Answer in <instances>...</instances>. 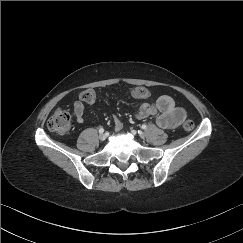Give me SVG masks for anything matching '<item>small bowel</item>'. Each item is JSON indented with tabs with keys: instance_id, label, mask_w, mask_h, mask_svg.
Segmentation results:
<instances>
[{
	"instance_id": "small-bowel-1",
	"label": "small bowel",
	"mask_w": 243,
	"mask_h": 243,
	"mask_svg": "<svg viewBox=\"0 0 243 243\" xmlns=\"http://www.w3.org/2000/svg\"><path fill=\"white\" fill-rule=\"evenodd\" d=\"M73 112L76 121L79 124L85 122L83 104L80 100H76L73 104ZM160 113L156 119V123L160 128L171 129L179 126L186 117L184 108L176 106L175 101L169 95H162L141 105L137 112L138 119H146L149 116ZM123 124L120 120L114 121V130L120 132Z\"/></svg>"
}]
</instances>
